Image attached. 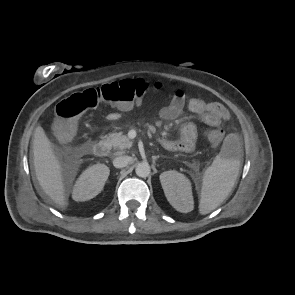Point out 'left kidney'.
Returning <instances> with one entry per match:
<instances>
[{"instance_id": "obj_1", "label": "left kidney", "mask_w": 295, "mask_h": 295, "mask_svg": "<svg viewBox=\"0 0 295 295\" xmlns=\"http://www.w3.org/2000/svg\"><path fill=\"white\" fill-rule=\"evenodd\" d=\"M160 182L168 202L177 211L188 213L193 210L194 201L189 179L175 170L160 175Z\"/></svg>"}]
</instances>
